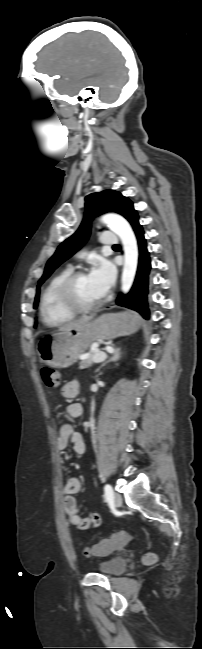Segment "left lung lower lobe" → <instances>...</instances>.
I'll list each match as a JSON object with an SVG mask.
<instances>
[{
  "label": "left lung lower lobe",
  "instance_id": "1",
  "mask_svg": "<svg viewBox=\"0 0 202 649\" xmlns=\"http://www.w3.org/2000/svg\"><path fill=\"white\" fill-rule=\"evenodd\" d=\"M130 224L135 232L139 247V262L134 284L127 295L120 294L116 300L117 305L132 309L140 313L145 319H149L147 303L148 275L151 269V260L147 250L144 231L139 223L138 215H135Z\"/></svg>",
  "mask_w": 202,
  "mask_h": 649
}]
</instances>
